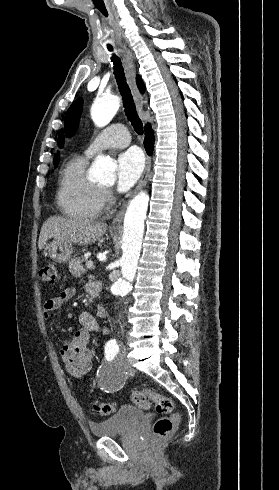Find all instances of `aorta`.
I'll list each match as a JSON object with an SVG mask.
<instances>
[{"label": "aorta", "instance_id": "obj_1", "mask_svg": "<svg viewBox=\"0 0 279 490\" xmlns=\"http://www.w3.org/2000/svg\"><path fill=\"white\" fill-rule=\"evenodd\" d=\"M119 107L120 100L117 96L102 97L93 103L91 118L96 126L104 127L113 119ZM115 169L116 163L113 159L99 155L92 164L90 172L95 180L112 182ZM148 203V194L140 192L127 207L122 238L123 254L120 259L122 277L111 287L114 295L125 296L132 290V281L136 274L142 247Z\"/></svg>", "mask_w": 279, "mask_h": 490}]
</instances>
